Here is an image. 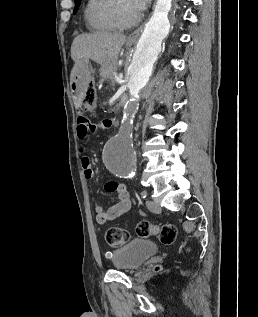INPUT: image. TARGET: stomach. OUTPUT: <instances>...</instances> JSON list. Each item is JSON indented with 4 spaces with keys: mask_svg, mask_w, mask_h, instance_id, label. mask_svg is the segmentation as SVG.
Masks as SVG:
<instances>
[{
    "mask_svg": "<svg viewBox=\"0 0 258 317\" xmlns=\"http://www.w3.org/2000/svg\"><path fill=\"white\" fill-rule=\"evenodd\" d=\"M133 42H130L129 38L126 42V46H132ZM90 62L89 58H81V60H77L74 64L73 72H74V78L73 82H78L79 76H82V74H89L90 72Z\"/></svg>",
    "mask_w": 258,
    "mask_h": 317,
    "instance_id": "0dacf381",
    "label": "stomach"
}]
</instances>
